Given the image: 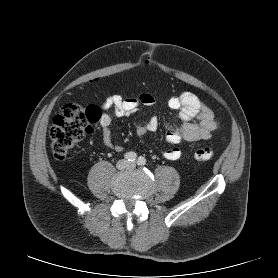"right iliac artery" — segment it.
I'll return each instance as SVG.
<instances>
[{"instance_id": "right-iliac-artery-1", "label": "right iliac artery", "mask_w": 278, "mask_h": 278, "mask_svg": "<svg viewBox=\"0 0 278 278\" xmlns=\"http://www.w3.org/2000/svg\"><path fill=\"white\" fill-rule=\"evenodd\" d=\"M125 159L129 162H133L136 160V153L135 152H128L124 155Z\"/></svg>"}]
</instances>
